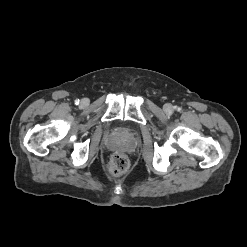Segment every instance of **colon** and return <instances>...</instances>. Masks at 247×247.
I'll return each instance as SVG.
<instances>
[{
  "mask_svg": "<svg viewBox=\"0 0 247 247\" xmlns=\"http://www.w3.org/2000/svg\"><path fill=\"white\" fill-rule=\"evenodd\" d=\"M128 167L127 158L121 153H114L108 163H107V171L113 176L122 175Z\"/></svg>",
  "mask_w": 247,
  "mask_h": 247,
  "instance_id": "5ec220e1",
  "label": "colon"
}]
</instances>
